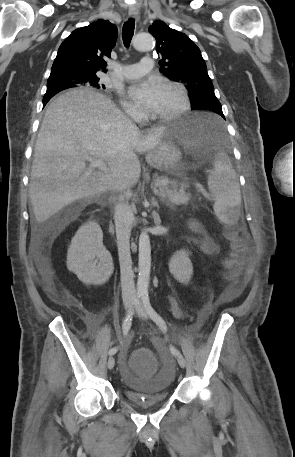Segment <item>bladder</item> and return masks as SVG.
<instances>
[{
	"label": "bladder",
	"instance_id": "31cf9c89",
	"mask_svg": "<svg viewBox=\"0 0 295 457\" xmlns=\"http://www.w3.org/2000/svg\"><path fill=\"white\" fill-rule=\"evenodd\" d=\"M119 344H122V341H119ZM155 349L157 354H160L159 374L129 375V372L132 373L130 360L124 364V357L119 356L116 359L117 364H119L117 377L125 378L124 396L131 404L140 407L141 410L162 404L170 396L168 387L172 380L176 362L170 352H167L165 342H156Z\"/></svg>",
	"mask_w": 295,
	"mask_h": 457
}]
</instances>
